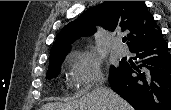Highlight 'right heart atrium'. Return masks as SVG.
I'll return each mask as SVG.
<instances>
[{
  "mask_svg": "<svg viewBox=\"0 0 171 110\" xmlns=\"http://www.w3.org/2000/svg\"><path fill=\"white\" fill-rule=\"evenodd\" d=\"M71 64V81L80 89L88 90L103 81L101 63L89 53H74Z\"/></svg>",
  "mask_w": 171,
  "mask_h": 110,
  "instance_id": "right-heart-atrium-1",
  "label": "right heart atrium"
}]
</instances>
